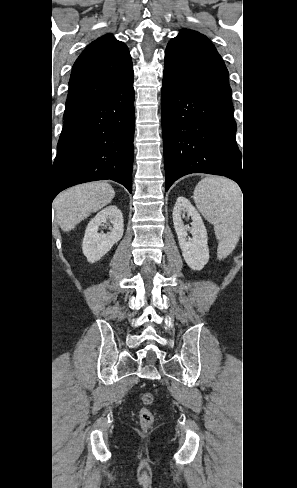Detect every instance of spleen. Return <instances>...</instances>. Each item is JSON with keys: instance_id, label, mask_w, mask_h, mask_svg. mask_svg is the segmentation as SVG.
<instances>
[{"instance_id": "spleen-1", "label": "spleen", "mask_w": 297, "mask_h": 488, "mask_svg": "<svg viewBox=\"0 0 297 488\" xmlns=\"http://www.w3.org/2000/svg\"><path fill=\"white\" fill-rule=\"evenodd\" d=\"M194 201L204 218L214 225L218 239L225 241L233 238L241 208V190L234 182L206 177L197 184Z\"/></svg>"}]
</instances>
